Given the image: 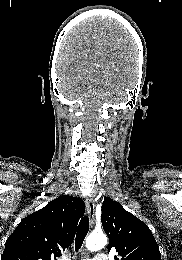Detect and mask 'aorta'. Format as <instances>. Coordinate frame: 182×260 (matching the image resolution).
<instances>
[{"label":"aorta","mask_w":182,"mask_h":260,"mask_svg":"<svg viewBox=\"0 0 182 260\" xmlns=\"http://www.w3.org/2000/svg\"><path fill=\"white\" fill-rule=\"evenodd\" d=\"M107 244V237L103 233H92L86 239V248L89 251H98Z\"/></svg>","instance_id":"obj_1"}]
</instances>
